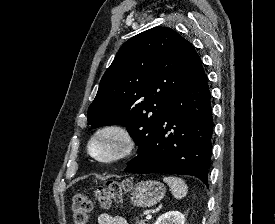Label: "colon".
Instances as JSON below:
<instances>
[{
  "instance_id": "5ec220e1",
  "label": "colon",
  "mask_w": 275,
  "mask_h": 224,
  "mask_svg": "<svg viewBox=\"0 0 275 224\" xmlns=\"http://www.w3.org/2000/svg\"><path fill=\"white\" fill-rule=\"evenodd\" d=\"M131 184L128 181L123 183L108 182L105 187L96 190V201L103 208H108L112 203H119L123 196L129 192ZM93 209V201L85 194H76L72 200L73 219L76 224H86Z\"/></svg>"
}]
</instances>
